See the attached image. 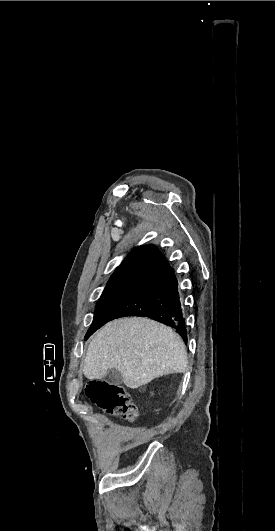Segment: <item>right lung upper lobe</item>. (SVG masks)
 Returning a JSON list of instances; mask_svg holds the SVG:
<instances>
[{
    "label": "right lung upper lobe",
    "instance_id": "right-lung-upper-lobe-1",
    "mask_svg": "<svg viewBox=\"0 0 275 531\" xmlns=\"http://www.w3.org/2000/svg\"><path fill=\"white\" fill-rule=\"evenodd\" d=\"M162 254L154 245L135 247L116 268L113 274L130 271L145 270Z\"/></svg>",
    "mask_w": 275,
    "mask_h": 531
}]
</instances>
